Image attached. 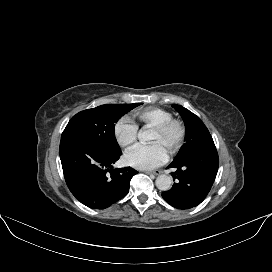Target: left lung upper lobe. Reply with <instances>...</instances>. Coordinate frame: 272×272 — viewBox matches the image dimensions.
<instances>
[{
	"instance_id": "left-lung-upper-lobe-1",
	"label": "left lung upper lobe",
	"mask_w": 272,
	"mask_h": 272,
	"mask_svg": "<svg viewBox=\"0 0 272 272\" xmlns=\"http://www.w3.org/2000/svg\"><path fill=\"white\" fill-rule=\"evenodd\" d=\"M182 116L185 123V143L180 148L174 161L180 160L185 156L201 150L203 148L214 146L213 139L201 121V119L180 105H172Z\"/></svg>"
}]
</instances>
